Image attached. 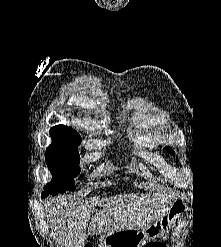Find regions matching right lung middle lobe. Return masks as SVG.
Listing matches in <instances>:
<instances>
[{
    "label": "right lung middle lobe",
    "mask_w": 221,
    "mask_h": 247,
    "mask_svg": "<svg viewBox=\"0 0 221 247\" xmlns=\"http://www.w3.org/2000/svg\"><path fill=\"white\" fill-rule=\"evenodd\" d=\"M53 140L46 150V163L52 173V180L44 187V193L57 195L74 190V177L79 172L78 146L81 138L51 133Z\"/></svg>",
    "instance_id": "dd1d6c3e"
}]
</instances>
